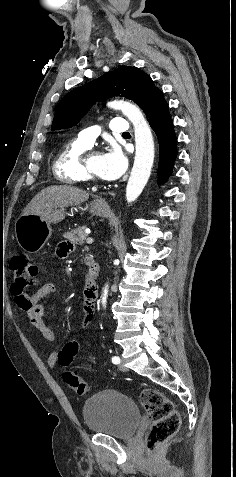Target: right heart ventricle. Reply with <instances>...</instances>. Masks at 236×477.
I'll return each instance as SVG.
<instances>
[{
  "mask_svg": "<svg viewBox=\"0 0 236 477\" xmlns=\"http://www.w3.org/2000/svg\"><path fill=\"white\" fill-rule=\"evenodd\" d=\"M89 149L79 141L69 142L57 156L53 170L55 176L62 182L76 185L87 182L83 170L82 155Z\"/></svg>",
  "mask_w": 236,
  "mask_h": 477,
  "instance_id": "obj_1",
  "label": "right heart ventricle"
}]
</instances>
